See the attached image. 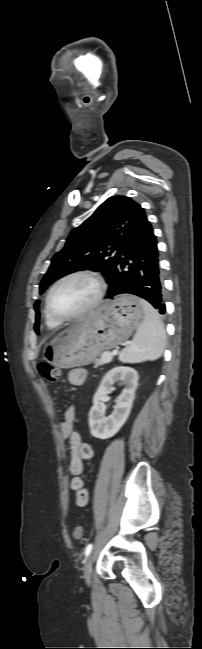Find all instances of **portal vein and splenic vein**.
I'll use <instances>...</instances> for the list:
<instances>
[{
  "label": "portal vein and splenic vein",
  "instance_id": "18ae733b",
  "mask_svg": "<svg viewBox=\"0 0 202 649\" xmlns=\"http://www.w3.org/2000/svg\"><path fill=\"white\" fill-rule=\"evenodd\" d=\"M117 353H118L117 350H113L112 353L104 352V353H102V355H101V360H102L104 363H109V362L112 360V356H113V355H116Z\"/></svg>",
  "mask_w": 202,
  "mask_h": 649
}]
</instances>
